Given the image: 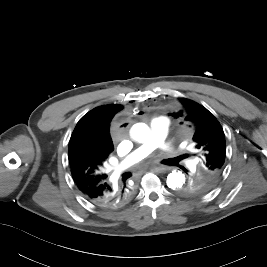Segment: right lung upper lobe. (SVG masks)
I'll return each mask as SVG.
<instances>
[{
  "instance_id": "right-lung-upper-lobe-1",
  "label": "right lung upper lobe",
  "mask_w": 267,
  "mask_h": 267,
  "mask_svg": "<svg viewBox=\"0 0 267 267\" xmlns=\"http://www.w3.org/2000/svg\"><path fill=\"white\" fill-rule=\"evenodd\" d=\"M120 105H104L97 107L77 123L69 142L68 157L72 177L79 189H87L107 180L102 172L103 163L107 160L114 146L109 135V122L114 114L120 111ZM92 158L100 166L101 174L88 181L78 177V167L84 160Z\"/></svg>"
}]
</instances>
